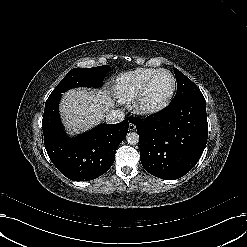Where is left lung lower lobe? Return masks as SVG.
<instances>
[{
	"instance_id": "obj_1",
	"label": "left lung lower lobe",
	"mask_w": 247,
	"mask_h": 247,
	"mask_svg": "<svg viewBox=\"0 0 247 247\" xmlns=\"http://www.w3.org/2000/svg\"><path fill=\"white\" fill-rule=\"evenodd\" d=\"M140 138V159L150 174L175 180L199 161L208 138L206 102L196 94L170 103L145 120L130 118Z\"/></svg>"
}]
</instances>
